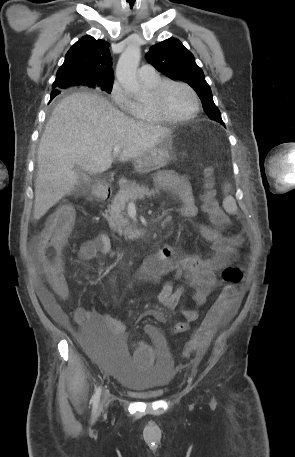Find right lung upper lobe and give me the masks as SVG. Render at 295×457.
I'll return each instance as SVG.
<instances>
[{"label": "right lung upper lobe", "mask_w": 295, "mask_h": 457, "mask_svg": "<svg viewBox=\"0 0 295 457\" xmlns=\"http://www.w3.org/2000/svg\"><path fill=\"white\" fill-rule=\"evenodd\" d=\"M113 80L109 43L84 36L67 52L52 87L56 88L53 91L67 88L70 84L95 87L113 83Z\"/></svg>", "instance_id": "cb5924a9"}]
</instances>
